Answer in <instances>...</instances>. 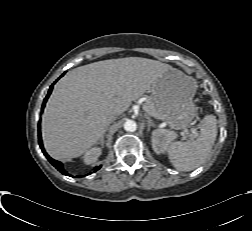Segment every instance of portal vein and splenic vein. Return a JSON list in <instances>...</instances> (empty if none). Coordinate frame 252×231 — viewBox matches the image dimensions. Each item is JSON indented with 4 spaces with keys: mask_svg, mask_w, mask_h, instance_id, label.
I'll use <instances>...</instances> for the list:
<instances>
[{
    "mask_svg": "<svg viewBox=\"0 0 252 231\" xmlns=\"http://www.w3.org/2000/svg\"><path fill=\"white\" fill-rule=\"evenodd\" d=\"M143 109H144L148 114H150V115L153 116V114L149 111V109L147 108V106L144 105V106H143ZM182 133H183L184 135H189V131H188L187 129H184V130L182 131ZM190 136H191V138L198 136V131H197L196 129H193V130H192V134H191Z\"/></svg>",
    "mask_w": 252,
    "mask_h": 231,
    "instance_id": "portal-vein-and-splenic-vein-1",
    "label": "portal vein and splenic vein"
}]
</instances>
